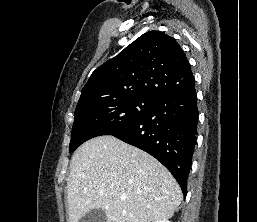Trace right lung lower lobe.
Wrapping results in <instances>:
<instances>
[{"mask_svg":"<svg viewBox=\"0 0 257 222\" xmlns=\"http://www.w3.org/2000/svg\"><path fill=\"white\" fill-rule=\"evenodd\" d=\"M198 108L195 84L163 97L130 127L112 134L149 153L175 177L184 195L196 144Z\"/></svg>","mask_w":257,"mask_h":222,"instance_id":"1","label":"right lung lower lobe"}]
</instances>
